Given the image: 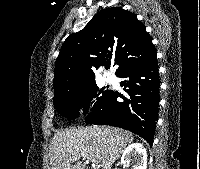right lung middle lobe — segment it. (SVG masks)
Returning a JSON list of instances; mask_svg holds the SVG:
<instances>
[{
  "instance_id": "dd1d6c3e",
  "label": "right lung middle lobe",
  "mask_w": 200,
  "mask_h": 169,
  "mask_svg": "<svg viewBox=\"0 0 200 169\" xmlns=\"http://www.w3.org/2000/svg\"><path fill=\"white\" fill-rule=\"evenodd\" d=\"M110 90L99 89L95 83V79L88 81L78 90L73 93L53 98V104L57 112L68 119H75L79 115L80 107L84 108L83 114L87 113L89 103L92 97L102 96L97 98L96 103L92 107V111L96 110Z\"/></svg>"
}]
</instances>
